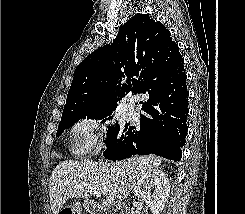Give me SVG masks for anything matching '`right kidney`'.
Returning <instances> with one entry per match:
<instances>
[{
  "label": "right kidney",
  "mask_w": 245,
  "mask_h": 214,
  "mask_svg": "<svg viewBox=\"0 0 245 214\" xmlns=\"http://www.w3.org/2000/svg\"><path fill=\"white\" fill-rule=\"evenodd\" d=\"M169 180L159 169L144 173L137 181L134 194L145 201L152 214H160L169 196ZM131 214H134L133 208Z\"/></svg>",
  "instance_id": "obj_1"
}]
</instances>
